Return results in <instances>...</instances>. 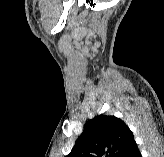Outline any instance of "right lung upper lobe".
Wrapping results in <instances>:
<instances>
[{
	"mask_svg": "<svg viewBox=\"0 0 164 157\" xmlns=\"http://www.w3.org/2000/svg\"><path fill=\"white\" fill-rule=\"evenodd\" d=\"M133 140V133L121 119L99 115L86 123L66 157H121Z\"/></svg>",
	"mask_w": 164,
	"mask_h": 157,
	"instance_id": "cb5924a9",
	"label": "right lung upper lobe"
}]
</instances>
